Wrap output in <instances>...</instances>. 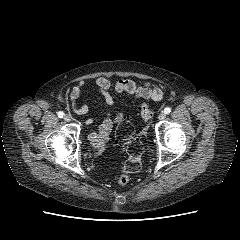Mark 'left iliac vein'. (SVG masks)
I'll return each instance as SVG.
<instances>
[{
	"label": "left iliac vein",
	"mask_w": 240,
	"mask_h": 240,
	"mask_svg": "<svg viewBox=\"0 0 240 240\" xmlns=\"http://www.w3.org/2000/svg\"><path fill=\"white\" fill-rule=\"evenodd\" d=\"M165 117H166V114L163 111L160 112L159 115H158L159 120H164Z\"/></svg>",
	"instance_id": "1"
}]
</instances>
